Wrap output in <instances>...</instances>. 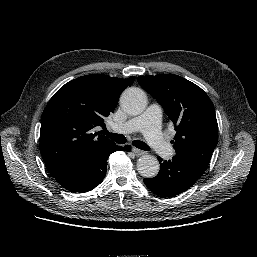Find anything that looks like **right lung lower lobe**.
<instances>
[{
	"label": "right lung lower lobe",
	"mask_w": 257,
	"mask_h": 257,
	"mask_svg": "<svg viewBox=\"0 0 257 257\" xmlns=\"http://www.w3.org/2000/svg\"><path fill=\"white\" fill-rule=\"evenodd\" d=\"M117 150L130 151L131 146H116L115 144L72 166L55 176L56 181L71 192H87L100 184L107 171V160L111 153Z\"/></svg>",
	"instance_id": "obj_1"
}]
</instances>
